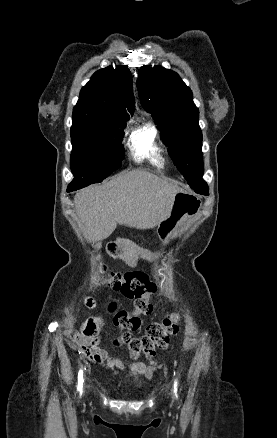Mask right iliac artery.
Masks as SVG:
<instances>
[{
  "label": "right iliac artery",
  "mask_w": 277,
  "mask_h": 438,
  "mask_svg": "<svg viewBox=\"0 0 277 438\" xmlns=\"http://www.w3.org/2000/svg\"><path fill=\"white\" fill-rule=\"evenodd\" d=\"M83 370H80L78 373V388L77 390L80 392V394L82 393V388H83Z\"/></svg>",
  "instance_id": "82829eb1"
}]
</instances>
